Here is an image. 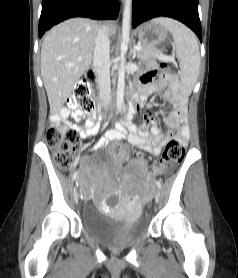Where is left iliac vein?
<instances>
[{"instance_id": "4c4485c4", "label": "left iliac vein", "mask_w": 238, "mask_h": 278, "mask_svg": "<svg viewBox=\"0 0 238 278\" xmlns=\"http://www.w3.org/2000/svg\"><path fill=\"white\" fill-rule=\"evenodd\" d=\"M160 198V192L158 190L155 191V201L158 202Z\"/></svg>"}]
</instances>
